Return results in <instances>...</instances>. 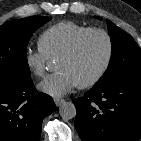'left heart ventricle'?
Returning <instances> with one entry per match:
<instances>
[{"label": "left heart ventricle", "mask_w": 141, "mask_h": 141, "mask_svg": "<svg viewBox=\"0 0 141 141\" xmlns=\"http://www.w3.org/2000/svg\"><path fill=\"white\" fill-rule=\"evenodd\" d=\"M106 55V39L101 34H91L73 56L58 60L57 69L68 71L77 83L84 82L98 72Z\"/></svg>", "instance_id": "left-heart-ventricle-1"}]
</instances>
